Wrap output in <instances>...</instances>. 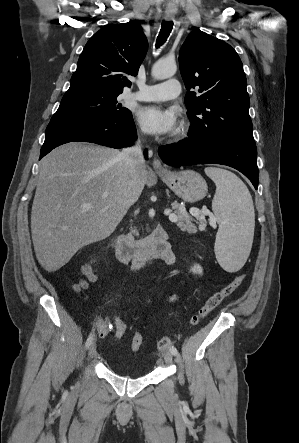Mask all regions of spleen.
<instances>
[{
  "label": "spleen",
  "mask_w": 299,
  "mask_h": 443,
  "mask_svg": "<svg viewBox=\"0 0 299 443\" xmlns=\"http://www.w3.org/2000/svg\"><path fill=\"white\" fill-rule=\"evenodd\" d=\"M205 173L216 185L212 210L219 224L215 255L227 272L245 264L252 246L255 213L252 197L245 184L232 172L208 167Z\"/></svg>",
  "instance_id": "3e777b00"
}]
</instances>
